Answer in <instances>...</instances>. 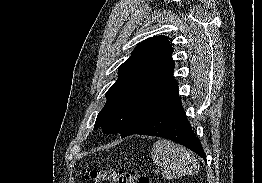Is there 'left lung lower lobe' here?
I'll return each instance as SVG.
<instances>
[{"label": "left lung lower lobe", "instance_id": "left-lung-lower-lobe-1", "mask_svg": "<svg viewBox=\"0 0 262 183\" xmlns=\"http://www.w3.org/2000/svg\"><path fill=\"white\" fill-rule=\"evenodd\" d=\"M134 134L170 139L197 153L206 161L201 143L185 115L178 90L160 105L148 122Z\"/></svg>", "mask_w": 262, "mask_h": 183}]
</instances>
